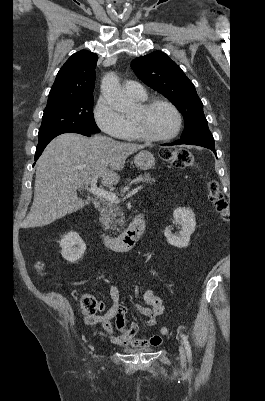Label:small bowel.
<instances>
[{
  "label": "small bowel",
  "mask_w": 265,
  "mask_h": 401,
  "mask_svg": "<svg viewBox=\"0 0 265 401\" xmlns=\"http://www.w3.org/2000/svg\"><path fill=\"white\" fill-rule=\"evenodd\" d=\"M149 275L152 278L159 276L158 272L151 269ZM109 296L112 300L111 307L103 314L98 316H90L85 319L87 324L100 323L103 327V335L110 343L116 346H131L134 348H152L157 347L161 343L159 335H153L148 339L137 338L136 335L139 326L136 322H132L129 327L126 326V314L129 311V306L119 302L120 292L117 286H109ZM135 293L141 297L145 305L134 304L132 307L141 315L147 318L146 324L149 327H154L157 324V319L164 312V305L162 300L157 297L152 289H148L141 293L139 288H135ZM102 304V303H101ZM104 310L102 304L101 311ZM115 320L116 327L121 331L120 335L114 333L112 320Z\"/></svg>",
  "instance_id": "small-bowel-1"
}]
</instances>
